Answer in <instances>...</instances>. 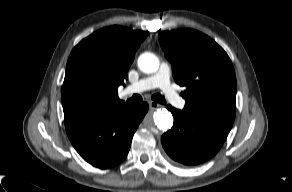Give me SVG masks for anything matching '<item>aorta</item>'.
I'll return each instance as SVG.
<instances>
[{
	"mask_svg": "<svg viewBox=\"0 0 292 192\" xmlns=\"http://www.w3.org/2000/svg\"><path fill=\"white\" fill-rule=\"evenodd\" d=\"M137 63L139 69L146 74L157 72L160 65L158 57L150 52L141 54ZM144 124L146 128L150 130L158 128L159 130L167 131L173 125V116L165 109H158L156 112H154L152 118L146 117L144 119Z\"/></svg>",
	"mask_w": 292,
	"mask_h": 192,
	"instance_id": "aorta-1",
	"label": "aorta"
}]
</instances>
